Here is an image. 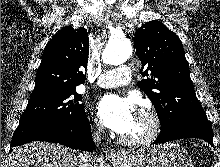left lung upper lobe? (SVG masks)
<instances>
[{"label":"left lung upper lobe","mask_w":220,"mask_h":167,"mask_svg":"<svg viewBox=\"0 0 220 167\" xmlns=\"http://www.w3.org/2000/svg\"><path fill=\"white\" fill-rule=\"evenodd\" d=\"M135 47L143 64L140 72L150 76L139 81L138 87L155 106L161 130L205 114L193 88L182 43L174 32L152 20L136 31Z\"/></svg>","instance_id":"1"}]
</instances>
